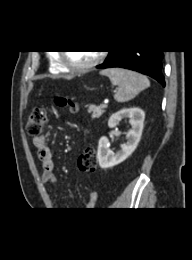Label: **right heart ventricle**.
Wrapping results in <instances>:
<instances>
[{"mask_svg": "<svg viewBox=\"0 0 192 260\" xmlns=\"http://www.w3.org/2000/svg\"><path fill=\"white\" fill-rule=\"evenodd\" d=\"M49 69L53 73H66L68 70L61 64L59 55L53 53L49 56Z\"/></svg>", "mask_w": 192, "mask_h": 260, "instance_id": "obj_1", "label": "right heart ventricle"}]
</instances>
